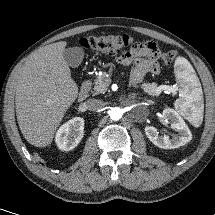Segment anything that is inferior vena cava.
Returning a JSON list of instances; mask_svg holds the SVG:
<instances>
[{
	"label": "inferior vena cava",
	"instance_id": "1",
	"mask_svg": "<svg viewBox=\"0 0 215 215\" xmlns=\"http://www.w3.org/2000/svg\"><path fill=\"white\" fill-rule=\"evenodd\" d=\"M104 102L98 99H88L86 101V108L89 111L97 112L100 111L104 107Z\"/></svg>",
	"mask_w": 215,
	"mask_h": 215
}]
</instances>
